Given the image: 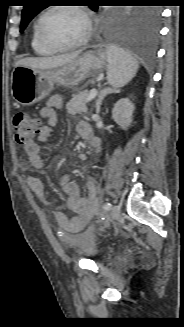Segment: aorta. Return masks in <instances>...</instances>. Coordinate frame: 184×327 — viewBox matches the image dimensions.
<instances>
[{
	"mask_svg": "<svg viewBox=\"0 0 184 327\" xmlns=\"http://www.w3.org/2000/svg\"><path fill=\"white\" fill-rule=\"evenodd\" d=\"M130 12H131V9H130V8H125V9H123V13H124V14L129 15Z\"/></svg>",
	"mask_w": 184,
	"mask_h": 327,
	"instance_id": "aorta-1",
	"label": "aorta"
}]
</instances>
